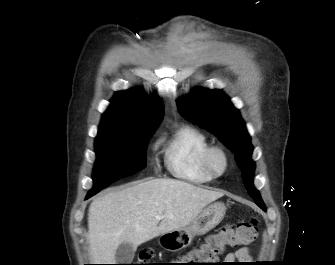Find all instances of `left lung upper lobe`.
Listing matches in <instances>:
<instances>
[{"label": "left lung upper lobe", "mask_w": 335, "mask_h": 265, "mask_svg": "<svg viewBox=\"0 0 335 265\" xmlns=\"http://www.w3.org/2000/svg\"><path fill=\"white\" fill-rule=\"evenodd\" d=\"M179 112L193 123L214 133L236 156L243 182L256 205L266 206L253 186L255 163L251 160L253 146L240 113L221 90L195 89L177 101Z\"/></svg>", "instance_id": "obj_1"}]
</instances>
